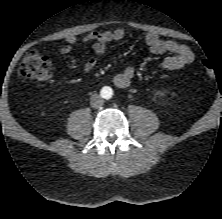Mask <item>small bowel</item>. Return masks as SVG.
Here are the masks:
<instances>
[{
    "instance_id": "obj_1",
    "label": "small bowel",
    "mask_w": 222,
    "mask_h": 219,
    "mask_svg": "<svg viewBox=\"0 0 222 219\" xmlns=\"http://www.w3.org/2000/svg\"><path fill=\"white\" fill-rule=\"evenodd\" d=\"M125 36L126 32L121 28L107 31H93L80 40L75 36H68L66 44L61 47L60 52L68 54L72 46L78 42L91 44L94 54L86 60L83 66L84 73L89 74L95 69L98 57L105 53L107 45L113 41H120ZM145 42L153 54H169L161 63L162 68L166 71L180 70L191 64L194 60V54L189 47L174 40H163L156 33H148L145 37ZM135 73V68L128 66L114 76L113 83L118 88H126L132 82Z\"/></svg>"
}]
</instances>
